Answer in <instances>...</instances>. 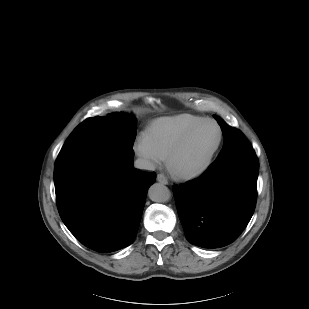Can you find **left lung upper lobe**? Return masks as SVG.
<instances>
[{
  "label": "left lung upper lobe",
  "instance_id": "1",
  "mask_svg": "<svg viewBox=\"0 0 309 309\" xmlns=\"http://www.w3.org/2000/svg\"><path fill=\"white\" fill-rule=\"evenodd\" d=\"M214 117L220 124L224 134V145L217 159L252 148L251 144L241 131L230 127L222 118L216 115H214Z\"/></svg>",
  "mask_w": 309,
  "mask_h": 309
}]
</instances>
